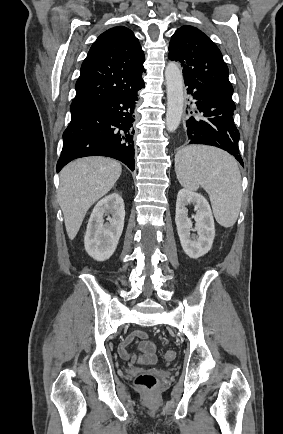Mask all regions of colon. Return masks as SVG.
Instances as JSON below:
<instances>
[{
    "label": "colon",
    "instance_id": "colon-1",
    "mask_svg": "<svg viewBox=\"0 0 283 434\" xmlns=\"http://www.w3.org/2000/svg\"><path fill=\"white\" fill-rule=\"evenodd\" d=\"M166 361H173L176 358V352L174 350H166L163 355ZM135 383L145 389H153L158 384V380L151 374H140L136 377Z\"/></svg>",
    "mask_w": 283,
    "mask_h": 434
}]
</instances>
